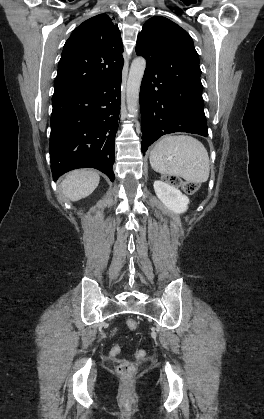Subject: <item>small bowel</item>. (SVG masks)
I'll return each instance as SVG.
<instances>
[{"instance_id":"1","label":"small bowel","mask_w":264,"mask_h":419,"mask_svg":"<svg viewBox=\"0 0 264 419\" xmlns=\"http://www.w3.org/2000/svg\"><path fill=\"white\" fill-rule=\"evenodd\" d=\"M119 351H120V348H119V346H118V345H113V346L111 347V349H110V353H111L112 355H116V354H118V353H119Z\"/></svg>"}]
</instances>
